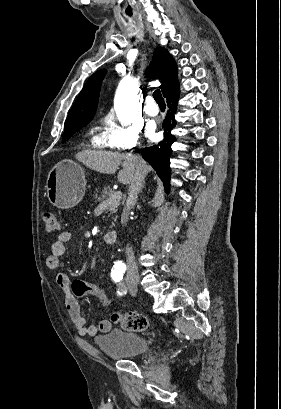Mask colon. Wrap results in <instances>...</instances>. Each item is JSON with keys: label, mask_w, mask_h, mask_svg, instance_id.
<instances>
[{"label": "colon", "mask_w": 281, "mask_h": 409, "mask_svg": "<svg viewBox=\"0 0 281 409\" xmlns=\"http://www.w3.org/2000/svg\"><path fill=\"white\" fill-rule=\"evenodd\" d=\"M42 220L48 233H57L61 231V224L58 215L54 210L44 208L42 210ZM113 312L118 314L120 309L115 307ZM112 320L119 323L121 328L125 330H141L147 325V321L142 315L133 312L116 315Z\"/></svg>", "instance_id": "1"}]
</instances>
